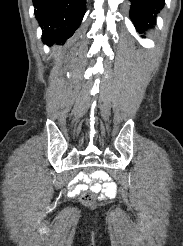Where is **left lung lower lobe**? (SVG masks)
<instances>
[{"mask_svg":"<svg viewBox=\"0 0 183 246\" xmlns=\"http://www.w3.org/2000/svg\"><path fill=\"white\" fill-rule=\"evenodd\" d=\"M130 17L138 32L143 33L156 24V14L164 6V0H130Z\"/></svg>","mask_w":183,"mask_h":246,"instance_id":"left-lung-lower-lobe-1","label":"left lung lower lobe"}]
</instances>
